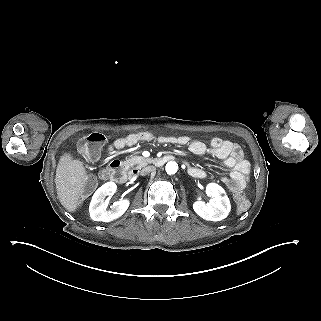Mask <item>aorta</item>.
Masks as SVG:
<instances>
[{
  "instance_id": "obj_1",
  "label": "aorta",
  "mask_w": 321,
  "mask_h": 321,
  "mask_svg": "<svg viewBox=\"0 0 321 321\" xmlns=\"http://www.w3.org/2000/svg\"><path fill=\"white\" fill-rule=\"evenodd\" d=\"M165 170L167 174H175L178 170V164L175 161H170L166 164Z\"/></svg>"
}]
</instances>
